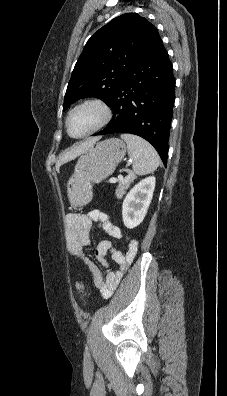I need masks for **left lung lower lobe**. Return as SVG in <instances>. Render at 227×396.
<instances>
[{
    "label": "left lung lower lobe",
    "instance_id": "obj_1",
    "mask_svg": "<svg viewBox=\"0 0 227 396\" xmlns=\"http://www.w3.org/2000/svg\"><path fill=\"white\" fill-rule=\"evenodd\" d=\"M174 89L173 67L160 40L129 71L109 104L112 120L94 135H138L153 145L166 165Z\"/></svg>",
    "mask_w": 227,
    "mask_h": 396
}]
</instances>
